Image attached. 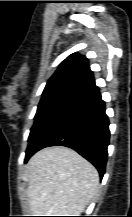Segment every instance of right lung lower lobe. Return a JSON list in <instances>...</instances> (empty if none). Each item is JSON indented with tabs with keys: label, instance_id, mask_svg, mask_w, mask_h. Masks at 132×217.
<instances>
[{
	"label": "right lung lower lobe",
	"instance_id": "obj_1",
	"mask_svg": "<svg viewBox=\"0 0 132 217\" xmlns=\"http://www.w3.org/2000/svg\"><path fill=\"white\" fill-rule=\"evenodd\" d=\"M109 121L99 90L77 97L64 107L26 151L25 162L49 146L74 149L99 171L102 178L109 145Z\"/></svg>",
	"mask_w": 132,
	"mask_h": 217
}]
</instances>
